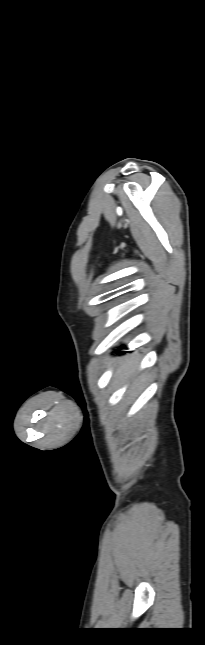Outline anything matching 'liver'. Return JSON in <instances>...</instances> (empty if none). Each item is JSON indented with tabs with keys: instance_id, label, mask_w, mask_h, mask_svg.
I'll use <instances>...</instances> for the list:
<instances>
[{
	"instance_id": "obj_1",
	"label": "liver",
	"mask_w": 205,
	"mask_h": 645,
	"mask_svg": "<svg viewBox=\"0 0 205 645\" xmlns=\"http://www.w3.org/2000/svg\"><path fill=\"white\" fill-rule=\"evenodd\" d=\"M137 364H138V361H137L136 355L128 356L118 365L114 377L118 382L122 383L126 381L127 379L131 378V376L133 375L137 367ZM145 380H146V377L144 375L135 378L130 386V390L132 392H135L139 388V386L145 382Z\"/></svg>"
}]
</instances>
